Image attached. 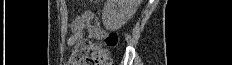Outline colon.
<instances>
[{
	"label": "colon",
	"instance_id": "1",
	"mask_svg": "<svg viewBox=\"0 0 232 65\" xmlns=\"http://www.w3.org/2000/svg\"><path fill=\"white\" fill-rule=\"evenodd\" d=\"M118 36L114 33L107 34L102 42L85 39L77 45V52L87 65H112L108 55V48L115 47Z\"/></svg>",
	"mask_w": 232,
	"mask_h": 65
}]
</instances>
